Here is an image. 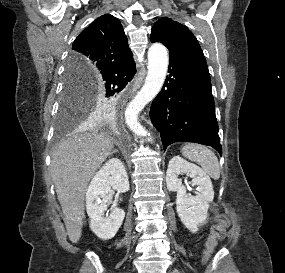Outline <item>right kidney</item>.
Wrapping results in <instances>:
<instances>
[{
  "label": "right kidney",
  "mask_w": 285,
  "mask_h": 273,
  "mask_svg": "<svg viewBox=\"0 0 285 273\" xmlns=\"http://www.w3.org/2000/svg\"><path fill=\"white\" fill-rule=\"evenodd\" d=\"M124 193L129 190V181L123 163L118 158H112L95 174L86 192V210L90 218V229L103 240L115 236L125 217L124 210L114 207L110 214L106 213L107 205L104 199L110 189Z\"/></svg>",
  "instance_id": "1"
}]
</instances>
